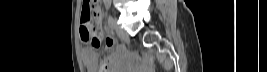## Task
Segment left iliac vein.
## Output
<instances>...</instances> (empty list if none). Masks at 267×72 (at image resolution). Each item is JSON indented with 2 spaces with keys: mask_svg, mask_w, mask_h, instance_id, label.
Masks as SVG:
<instances>
[{
  "mask_svg": "<svg viewBox=\"0 0 267 72\" xmlns=\"http://www.w3.org/2000/svg\"><path fill=\"white\" fill-rule=\"evenodd\" d=\"M113 24H114V28H115V31H116L118 37L121 40H127L129 38L128 33L124 29H122L121 27H119L117 25V22H116V19L115 18H113Z\"/></svg>",
  "mask_w": 267,
  "mask_h": 72,
  "instance_id": "1",
  "label": "left iliac vein"
}]
</instances>
